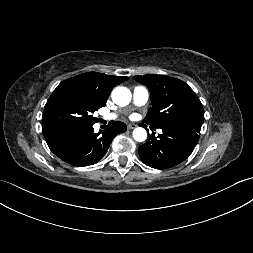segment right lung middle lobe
<instances>
[{
	"label": "right lung middle lobe",
	"mask_w": 253,
	"mask_h": 253,
	"mask_svg": "<svg viewBox=\"0 0 253 253\" xmlns=\"http://www.w3.org/2000/svg\"><path fill=\"white\" fill-rule=\"evenodd\" d=\"M106 103L98 100L78 82H61L48 99L42 117V129L65 125H92L94 111Z\"/></svg>",
	"instance_id": "obj_1"
}]
</instances>
